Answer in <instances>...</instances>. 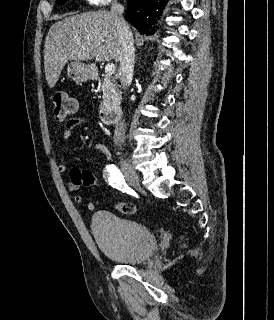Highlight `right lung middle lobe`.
I'll return each mask as SVG.
<instances>
[{"label":"right lung middle lobe","instance_id":"1","mask_svg":"<svg viewBox=\"0 0 274 320\" xmlns=\"http://www.w3.org/2000/svg\"><path fill=\"white\" fill-rule=\"evenodd\" d=\"M59 5H62L63 3H65L67 0H57Z\"/></svg>","mask_w":274,"mask_h":320}]
</instances>
